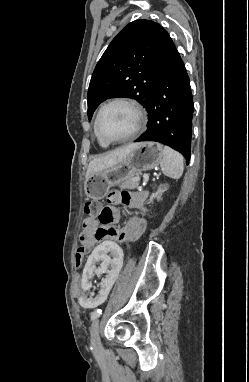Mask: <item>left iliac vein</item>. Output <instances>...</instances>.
Masks as SVG:
<instances>
[{
	"label": "left iliac vein",
	"mask_w": 249,
	"mask_h": 382,
	"mask_svg": "<svg viewBox=\"0 0 249 382\" xmlns=\"http://www.w3.org/2000/svg\"><path fill=\"white\" fill-rule=\"evenodd\" d=\"M92 347L95 351H100L102 349L100 335H99V320L95 319L90 328Z\"/></svg>",
	"instance_id": "obj_1"
}]
</instances>
